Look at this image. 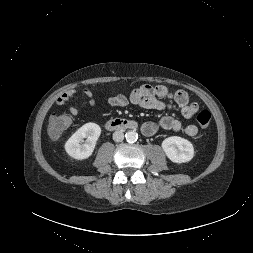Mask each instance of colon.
Instances as JSON below:
<instances>
[{"instance_id": "5ec220e1", "label": "colon", "mask_w": 253, "mask_h": 253, "mask_svg": "<svg viewBox=\"0 0 253 253\" xmlns=\"http://www.w3.org/2000/svg\"><path fill=\"white\" fill-rule=\"evenodd\" d=\"M197 122L202 129H207L211 121V113L207 109L197 114ZM71 117L67 114L54 113L49 123L48 133L51 139H58L70 126Z\"/></svg>"}]
</instances>
